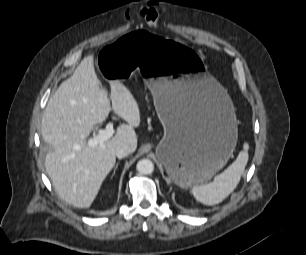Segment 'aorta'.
I'll return each instance as SVG.
<instances>
[{"instance_id": "obj_1", "label": "aorta", "mask_w": 306, "mask_h": 255, "mask_svg": "<svg viewBox=\"0 0 306 255\" xmlns=\"http://www.w3.org/2000/svg\"><path fill=\"white\" fill-rule=\"evenodd\" d=\"M136 169L140 174L148 175L153 172L154 164L149 159H141L138 161Z\"/></svg>"}]
</instances>
